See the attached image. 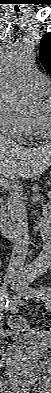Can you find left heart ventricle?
Returning <instances> with one entry per match:
<instances>
[{"mask_svg":"<svg viewBox=\"0 0 51 393\" xmlns=\"http://www.w3.org/2000/svg\"><path fill=\"white\" fill-rule=\"evenodd\" d=\"M35 117H39L44 119L46 122L51 121V109L50 107H48L47 105H45L44 103H42V105L40 106V108L38 109Z\"/></svg>","mask_w":51,"mask_h":393,"instance_id":"left-heart-ventricle-1","label":"left heart ventricle"}]
</instances>
